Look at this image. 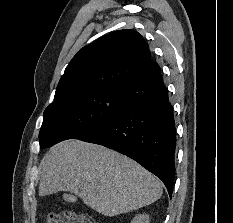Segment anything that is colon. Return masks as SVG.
<instances>
[{"label":"colon","instance_id":"5ec220e1","mask_svg":"<svg viewBox=\"0 0 233 223\" xmlns=\"http://www.w3.org/2000/svg\"><path fill=\"white\" fill-rule=\"evenodd\" d=\"M47 223H94L91 218L83 213H75L71 210H64L60 214L50 213Z\"/></svg>","mask_w":233,"mask_h":223}]
</instances>
